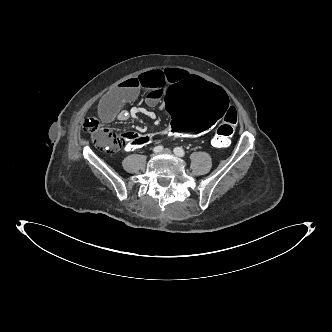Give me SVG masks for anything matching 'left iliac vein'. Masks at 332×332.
<instances>
[{"label": "left iliac vein", "mask_w": 332, "mask_h": 332, "mask_svg": "<svg viewBox=\"0 0 332 332\" xmlns=\"http://www.w3.org/2000/svg\"><path fill=\"white\" fill-rule=\"evenodd\" d=\"M162 153H165V154H172V151H171L170 149L166 148V149H164V150L162 151Z\"/></svg>", "instance_id": "4c4485c4"}]
</instances>
